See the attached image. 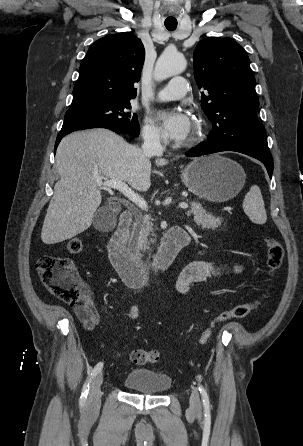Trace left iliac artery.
I'll use <instances>...</instances> for the list:
<instances>
[{
	"instance_id": "left-iliac-artery-1",
	"label": "left iliac artery",
	"mask_w": 303,
	"mask_h": 446,
	"mask_svg": "<svg viewBox=\"0 0 303 446\" xmlns=\"http://www.w3.org/2000/svg\"><path fill=\"white\" fill-rule=\"evenodd\" d=\"M199 391L202 396V401H203L205 410H209V408H210L209 397H208L206 390L204 389V387L201 384H199Z\"/></svg>"
}]
</instances>
